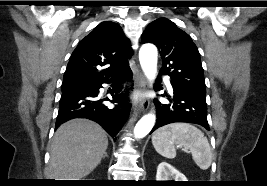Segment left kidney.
<instances>
[{"instance_id":"left-kidney-1","label":"left kidney","mask_w":267,"mask_h":186,"mask_svg":"<svg viewBox=\"0 0 267 186\" xmlns=\"http://www.w3.org/2000/svg\"><path fill=\"white\" fill-rule=\"evenodd\" d=\"M156 181H187L186 177L167 162L157 168Z\"/></svg>"}]
</instances>
